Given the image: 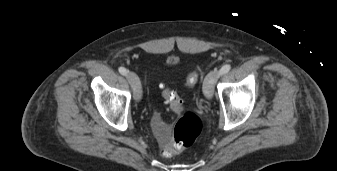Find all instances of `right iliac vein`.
I'll return each instance as SVG.
<instances>
[{
  "label": "right iliac vein",
  "mask_w": 337,
  "mask_h": 171,
  "mask_svg": "<svg viewBox=\"0 0 337 171\" xmlns=\"http://www.w3.org/2000/svg\"><path fill=\"white\" fill-rule=\"evenodd\" d=\"M131 87L133 88L134 91V99L135 100H140L142 91H141V84L138 76L134 72H128L126 75Z\"/></svg>",
  "instance_id": "63e3f726"
}]
</instances>
